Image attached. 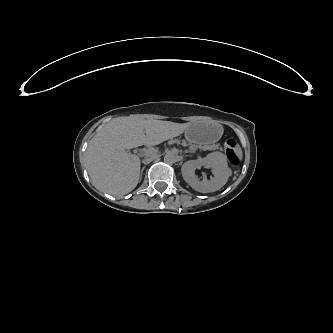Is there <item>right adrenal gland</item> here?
I'll list each match as a JSON object with an SVG mask.
<instances>
[{
  "instance_id": "2a0ac1e0",
  "label": "right adrenal gland",
  "mask_w": 333,
  "mask_h": 333,
  "mask_svg": "<svg viewBox=\"0 0 333 333\" xmlns=\"http://www.w3.org/2000/svg\"><path fill=\"white\" fill-rule=\"evenodd\" d=\"M142 173H143V169L141 170V173H140V179H141V177H142Z\"/></svg>"
}]
</instances>
